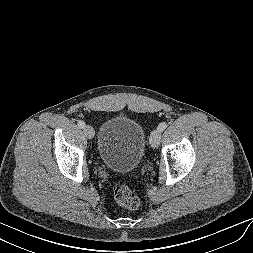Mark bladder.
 <instances>
[{
    "label": "bladder",
    "mask_w": 253,
    "mask_h": 253,
    "mask_svg": "<svg viewBox=\"0 0 253 253\" xmlns=\"http://www.w3.org/2000/svg\"><path fill=\"white\" fill-rule=\"evenodd\" d=\"M146 146L143 127L129 116L105 120L97 135V155L109 169L129 173L140 164Z\"/></svg>",
    "instance_id": "obj_1"
}]
</instances>
